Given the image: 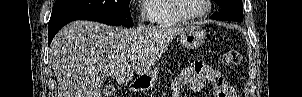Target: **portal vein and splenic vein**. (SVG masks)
<instances>
[{
  "mask_svg": "<svg viewBox=\"0 0 302 97\" xmlns=\"http://www.w3.org/2000/svg\"><path fill=\"white\" fill-rule=\"evenodd\" d=\"M134 59H135V56H130V57H129V60H130V61H133Z\"/></svg>",
  "mask_w": 302,
  "mask_h": 97,
  "instance_id": "18ae733b",
  "label": "portal vein and splenic vein"
}]
</instances>
